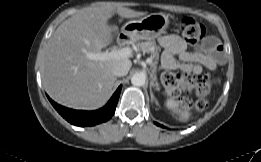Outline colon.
Instances as JSON below:
<instances>
[{"label":"colon","instance_id":"1","mask_svg":"<svg viewBox=\"0 0 261 162\" xmlns=\"http://www.w3.org/2000/svg\"><path fill=\"white\" fill-rule=\"evenodd\" d=\"M179 30L183 38L189 43H196L206 36L205 26L190 17L180 20ZM162 81L168 96L178 100L184 108H194L202 111L208 106L205 97L218 79L209 73L190 75L167 72L163 75ZM181 94H195L196 99L181 97Z\"/></svg>","mask_w":261,"mask_h":162}]
</instances>
